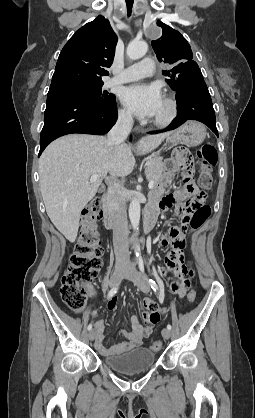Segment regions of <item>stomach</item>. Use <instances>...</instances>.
Segmentation results:
<instances>
[{"mask_svg":"<svg viewBox=\"0 0 255 418\" xmlns=\"http://www.w3.org/2000/svg\"><path fill=\"white\" fill-rule=\"evenodd\" d=\"M206 132L205 128L196 122H188L167 137V143L172 145L185 144L189 146L200 145Z\"/></svg>","mask_w":255,"mask_h":418,"instance_id":"stomach-1","label":"stomach"}]
</instances>
